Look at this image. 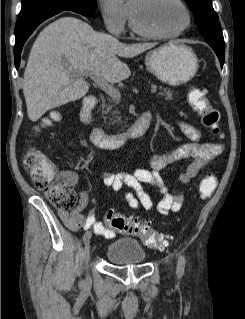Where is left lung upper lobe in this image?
<instances>
[{
    "label": "left lung upper lobe",
    "instance_id": "left-lung-upper-lobe-1",
    "mask_svg": "<svg viewBox=\"0 0 245 319\" xmlns=\"http://www.w3.org/2000/svg\"><path fill=\"white\" fill-rule=\"evenodd\" d=\"M194 13L201 34L211 47L225 50L223 34L219 26V18L214 11L211 0H185Z\"/></svg>",
    "mask_w": 245,
    "mask_h": 319
}]
</instances>
